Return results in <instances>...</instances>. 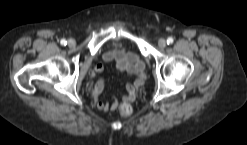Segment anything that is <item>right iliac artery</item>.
Masks as SVG:
<instances>
[{
  "label": "right iliac artery",
  "mask_w": 247,
  "mask_h": 145,
  "mask_svg": "<svg viewBox=\"0 0 247 145\" xmlns=\"http://www.w3.org/2000/svg\"><path fill=\"white\" fill-rule=\"evenodd\" d=\"M60 43H61V45H66V44H67V41H66L65 39H62V40L60 41Z\"/></svg>",
  "instance_id": "right-iliac-artery-1"
}]
</instances>
